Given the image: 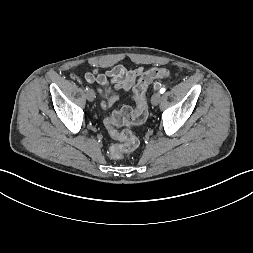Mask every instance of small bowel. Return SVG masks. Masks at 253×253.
I'll return each instance as SVG.
<instances>
[{
	"label": "small bowel",
	"mask_w": 253,
	"mask_h": 253,
	"mask_svg": "<svg viewBox=\"0 0 253 253\" xmlns=\"http://www.w3.org/2000/svg\"><path fill=\"white\" fill-rule=\"evenodd\" d=\"M143 67H137L135 69L126 68L122 65H116L106 73H99L97 70L86 73L84 79L89 82H97L102 86L111 85L115 89H121L128 91L132 88L136 80L142 75ZM101 93V90H100ZM117 100L115 95L108 97L102 101L103 108H109Z\"/></svg>",
	"instance_id": "obj_1"
}]
</instances>
